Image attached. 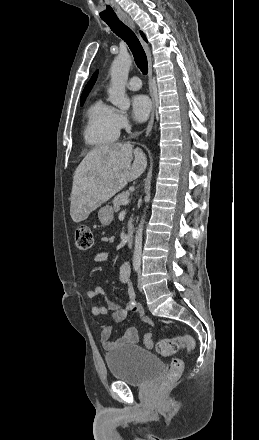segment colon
I'll return each instance as SVG.
<instances>
[{
	"instance_id": "colon-1",
	"label": "colon",
	"mask_w": 259,
	"mask_h": 440,
	"mask_svg": "<svg viewBox=\"0 0 259 440\" xmlns=\"http://www.w3.org/2000/svg\"><path fill=\"white\" fill-rule=\"evenodd\" d=\"M93 233L87 226H80L75 232V243L78 249L88 250L93 245ZM195 347L194 339L189 335H179L171 338H164L158 341L157 351L164 357L175 354L180 349L192 351ZM184 362L180 358H174L164 382L165 385L175 382L182 374Z\"/></svg>"
}]
</instances>
